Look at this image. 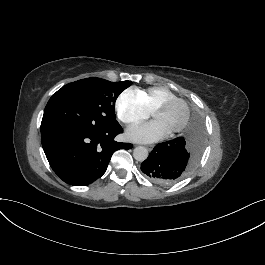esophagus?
Masks as SVG:
<instances>
[{"mask_svg": "<svg viewBox=\"0 0 265 265\" xmlns=\"http://www.w3.org/2000/svg\"><path fill=\"white\" fill-rule=\"evenodd\" d=\"M147 148L149 151H152V149L154 148V145H147Z\"/></svg>", "mask_w": 265, "mask_h": 265, "instance_id": "34e87169", "label": "esophagus"}]
</instances>
